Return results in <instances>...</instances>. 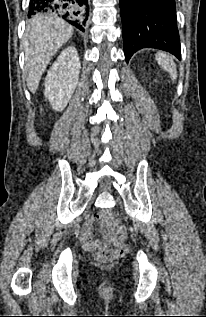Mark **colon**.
I'll return each instance as SVG.
<instances>
[{"label":"colon","mask_w":206,"mask_h":317,"mask_svg":"<svg viewBox=\"0 0 206 317\" xmlns=\"http://www.w3.org/2000/svg\"><path fill=\"white\" fill-rule=\"evenodd\" d=\"M98 217L104 221H111L113 214L105 210ZM86 248L94 254L98 262L102 263L111 262L124 255L127 251V247L124 244H112L109 240L100 238L90 239Z\"/></svg>","instance_id":"5ec220e1"}]
</instances>
